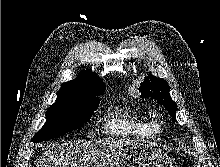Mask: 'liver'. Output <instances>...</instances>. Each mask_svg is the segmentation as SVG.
<instances>
[{"label":"liver","instance_id":"1","mask_svg":"<svg viewBox=\"0 0 220 167\" xmlns=\"http://www.w3.org/2000/svg\"><path fill=\"white\" fill-rule=\"evenodd\" d=\"M129 140L70 141L53 144L38 158L36 167H113Z\"/></svg>","mask_w":220,"mask_h":167}]
</instances>
